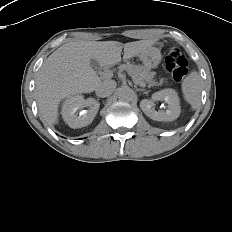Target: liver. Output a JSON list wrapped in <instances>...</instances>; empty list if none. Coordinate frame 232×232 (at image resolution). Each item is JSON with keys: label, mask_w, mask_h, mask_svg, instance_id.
Instances as JSON below:
<instances>
[{"label": "liver", "mask_w": 232, "mask_h": 232, "mask_svg": "<svg viewBox=\"0 0 232 232\" xmlns=\"http://www.w3.org/2000/svg\"><path fill=\"white\" fill-rule=\"evenodd\" d=\"M156 40L129 43L117 41H71L54 51L44 62L36 79V97L40 119L50 125L58 122V108L62 99L77 94L91 93L101 79L90 65L97 60L101 66L114 65L123 59L139 55Z\"/></svg>", "instance_id": "obj_1"}]
</instances>
